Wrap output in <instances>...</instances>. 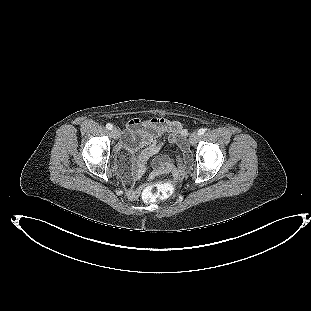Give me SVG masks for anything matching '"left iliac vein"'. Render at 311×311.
Masks as SVG:
<instances>
[{"label": "left iliac vein", "mask_w": 311, "mask_h": 311, "mask_svg": "<svg viewBox=\"0 0 311 311\" xmlns=\"http://www.w3.org/2000/svg\"><path fill=\"white\" fill-rule=\"evenodd\" d=\"M199 139V133L197 131H194L191 133L189 142L191 145H195Z\"/></svg>", "instance_id": "obj_1"}]
</instances>
